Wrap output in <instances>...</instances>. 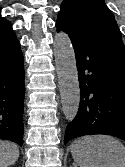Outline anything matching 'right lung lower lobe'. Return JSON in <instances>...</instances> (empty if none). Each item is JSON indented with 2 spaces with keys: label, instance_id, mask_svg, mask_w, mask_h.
I'll use <instances>...</instances> for the list:
<instances>
[{
  "label": "right lung lower lobe",
  "instance_id": "98d812e1",
  "mask_svg": "<svg viewBox=\"0 0 125 167\" xmlns=\"http://www.w3.org/2000/svg\"><path fill=\"white\" fill-rule=\"evenodd\" d=\"M24 67L12 27L0 30V139L23 144Z\"/></svg>",
  "mask_w": 125,
  "mask_h": 167
}]
</instances>
